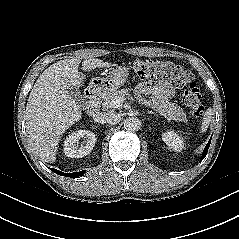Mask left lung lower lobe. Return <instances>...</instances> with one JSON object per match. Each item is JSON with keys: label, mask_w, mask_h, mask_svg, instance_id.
Wrapping results in <instances>:
<instances>
[{"label": "left lung lower lobe", "mask_w": 239, "mask_h": 239, "mask_svg": "<svg viewBox=\"0 0 239 239\" xmlns=\"http://www.w3.org/2000/svg\"><path fill=\"white\" fill-rule=\"evenodd\" d=\"M210 143H211V139L209 140V142L207 143V145H206V147H205V149H204L202 159H204V157L206 156L207 151H208V148H209V146H210Z\"/></svg>", "instance_id": "0a47b994"}]
</instances>
